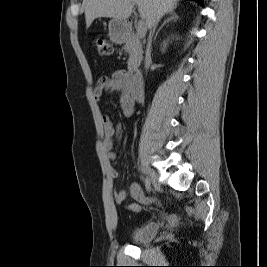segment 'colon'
<instances>
[{
  "instance_id": "5ec220e1",
  "label": "colon",
  "mask_w": 267,
  "mask_h": 267,
  "mask_svg": "<svg viewBox=\"0 0 267 267\" xmlns=\"http://www.w3.org/2000/svg\"><path fill=\"white\" fill-rule=\"evenodd\" d=\"M95 46H96L98 54L101 56H109L112 53L111 44L102 37H97L95 39Z\"/></svg>"
}]
</instances>
